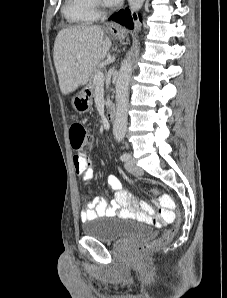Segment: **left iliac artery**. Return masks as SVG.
Wrapping results in <instances>:
<instances>
[{"instance_id":"1","label":"left iliac artery","mask_w":227,"mask_h":298,"mask_svg":"<svg viewBox=\"0 0 227 298\" xmlns=\"http://www.w3.org/2000/svg\"><path fill=\"white\" fill-rule=\"evenodd\" d=\"M118 141L120 142L121 139H118ZM129 158H130V154H129V153H123V154L120 156V160H122V161H127Z\"/></svg>"}]
</instances>
